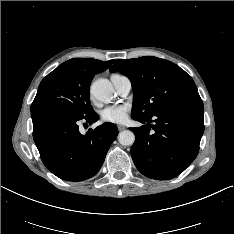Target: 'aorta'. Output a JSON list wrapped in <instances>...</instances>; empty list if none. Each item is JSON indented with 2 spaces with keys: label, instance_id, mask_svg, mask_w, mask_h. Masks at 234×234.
I'll use <instances>...</instances> for the list:
<instances>
[{
  "label": "aorta",
  "instance_id": "obj_1",
  "mask_svg": "<svg viewBox=\"0 0 234 234\" xmlns=\"http://www.w3.org/2000/svg\"><path fill=\"white\" fill-rule=\"evenodd\" d=\"M91 94L101 102H109L113 99V86L107 79H98L91 85ZM118 141L123 146H131L135 141V135L130 130L119 133Z\"/></svg>",
  "mask_w": 234,
  "mask_h": 234
}]
</instances>
